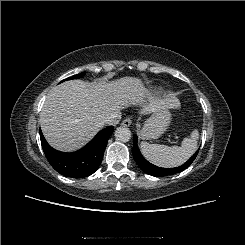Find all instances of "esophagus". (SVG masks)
<instances>
[{
	"instance_id": "34e87169",
	"label": "esophagus",
	"mask_w": 245,
	"mask_h": 245,
	"mask_svg": "<svg viewBox=\"0 0 245 245\" xmlns=\"http://www.w3.org/2000/svg\"><path fill=\"white\" fill-rule=\"evenodd\" d=\"M132 123V120L130 117H127L125 118L123 121H122V126L124 127H129Z\"/></svg>"
}]
</instances>
